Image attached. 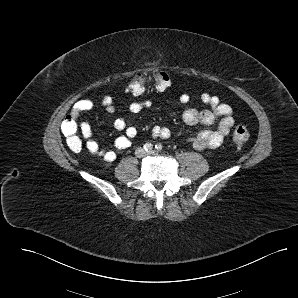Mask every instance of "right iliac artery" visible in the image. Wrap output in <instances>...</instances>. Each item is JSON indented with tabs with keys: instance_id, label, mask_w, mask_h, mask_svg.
Returning a JSON list of instances; mask_svg holds the SVG:
<instances>
[{
	"instance_id": "1",
	"label": "right iliac artery",
	"mask_w": 298,
	"mask_h": 298,
	"mask_svg": "<svg viewBox=\"0 0 298 298\" xmlns=\"http://www.w3.org/2000/svg\"><path fill=\"white\" fill-rule=\"evenodd\" d=\"M143 148L145 151H151L153 149V145L151 143H146Z\"/></svg>"
}]
</instances>
